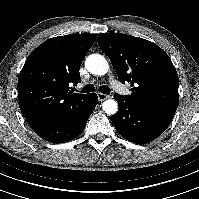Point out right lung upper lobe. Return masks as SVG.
Listing matches in <instances>:
<instances>
[{
  "label": "right lung upper lobe",
  "mask_w": 199,
  "mask_h": 199,
  "mask_svg": "<svg viewBox=\"0 0 199 199\" xmlns=\"http://www.w3.org/2000/svg\"><path fill=\"white\" fill-rule=\"evenodd\" d=\"M97 34L51 38L27 58L18 80L20 109L34 129L49 127L84 105L89 94L73 93L79 69Z\"/></svg>",
  "instance_id": "cb5924a9"
}]
</instances>
